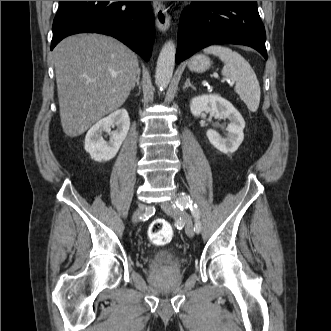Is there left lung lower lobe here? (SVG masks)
Instances as JSON below:
<instances>
[{
  "instance_id": "left-lung-lower-lobe-1",
  "label": "left lung lower lobe",
  "mask_w": 331,
  "mask_h": 331,
  "mask_svg": "<svg viewBox=\"0 0 331 331\" xmlns=\"http://www.w3.org/2000/svg\"><path fill=\"white\" fill-rule=\"evenodd\" d=\"M257 1H192L181 14L176 63L212 44L250 46L267 59Z\"/></svg>"
}]
</instances>
